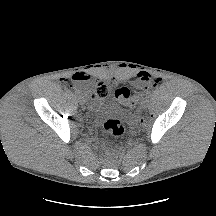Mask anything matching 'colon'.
<instances>
[{
	"mask_svg": "<svg viewBox=\"0 0 216 216\" xmlns=\"http://www.w3.org/2000/svg\"><path fill=\"white\" fill-rule=\"evenodd\" d=\"M142 80H149V75L143 74L141 75ZM111 93L110 85L107 81L103 79H98L95 82V87L91 92V96L93 99L103 102L105 101ZM115 97L122 100L127 104L130 111L134 112L137 110L139 105V97L138 96H130L127 94H123L117 89L114 91ZM122 95V96H121ZM103 129L106 131L108 135L113 138H120L124 134V126L121 121L114 117H108L102 122Z\"/></svg>",
	"mask_w": 216,
	"mask_h": 216,
	"instance_id": "5ec220e1",
	"label": "colon"
}]
</instances>
